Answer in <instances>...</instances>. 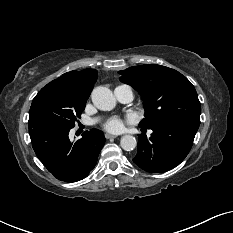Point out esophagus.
I'll return each mask as SVG.
<instances>
[{
    "label": "esophagus",
    "mask_w": 233,
    "mask_h": 233,
    "mask_svg": "<svg viewBox=\"0 0 233 233\" xmlns=\"http://www.w3.org/2000/svg\"><path fill=\"white\" fill-rule=\"evenodd\" d=\"M105 137H106V139H114V138H116L115 135H112V134H109V133H106Z\"/></svg>",
    "instance_id": "1"
}]
</instances>
